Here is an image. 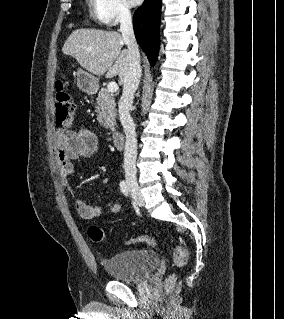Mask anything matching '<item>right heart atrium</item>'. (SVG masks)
Masks as SVG:
<instances>
[{
    "label": "right heart atrium",
    "mask_w": 284,
    "mask_h": 319,
    "mask_svg": "<svg viewBox=\"0 0 284 319\" xmlns=\"http://www.w3.org/2000/svg\"><path fill=\"white\" fill-rule=\"evenodd\" d=\"M94 15L105 26H115L131 17L124 0H94Z\"/></svg>",
    "instance_id": "obj_1"
}]
</instances>
